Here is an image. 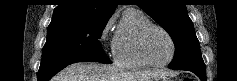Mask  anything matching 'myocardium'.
I'll list each match as a JSON object with an SVG mask.
<instances>
[{"label":"myocardium","instance_id":"myocardium-1","mask_svg":"<svg viewBox=\"0 0 237 81\" xmlns=\"http://www.w3.org/2000/svg\"><path fill=\"white\" fill-rule=\"evenodd\" d=\"M152 29H157V30L161 31L162 33H164L167 36V38L170 41L171 55H170L169 59L165 62L155 63V62L151 61L146 54L145 40H146V37H147L149 31ZM137 48H138V53H139L141 59L146 63V65H148L150 67H154V68L166 67L173 61L175 54H176V44H175V41H174L173 37L171 36V34L162 26L154 24V23L148 24L140 31L139 36H138Z\"/></svg>","mask_w":237,"mask_h":81}]
</instances>
